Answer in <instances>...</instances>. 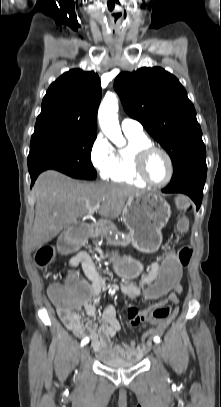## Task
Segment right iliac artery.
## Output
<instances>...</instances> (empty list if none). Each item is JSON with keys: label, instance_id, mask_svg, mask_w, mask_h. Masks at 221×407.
I'll use <instances>...</instances> for the list:
<instances>
[{"label": "right iliac artery", "instance_id": "right-iliac-artery-1", "mask_svg": "<svg viewBox=\"0 0 221 407\" xmlns=\"http://www.w3.org/2000/svg\"><path fill=\"white\" fill-rule=\"evenodd\" d=\"M88 342H89V339H88V338H84V339L81 341V346L86 345Z\"/></svg>", "mask_w": 221, "mask_h": 407}]
</instances>
